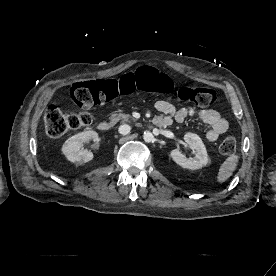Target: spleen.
<instances>
[{
    "mask_svg": "<svg viewBox=\"0 0 276 276\" xmlns=\"http://www.w3.org/2000/svg\"><path fill=\"white\" fill-rule=\"evenodd\" d=\"M238 163V156L231 155L229 156L220 166L218 175H217V182L223 183L228 180L233 172L236 170Z\"/></svg>",
    "mask_w": 276,
    "mask_h": 276,
    "instance_id": "obj_1",
    "label": "spleen"
}]
</instances>
